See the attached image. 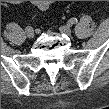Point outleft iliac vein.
Wrapping results in <instances>:
<instances>
[{
    "mask_svg": "<svg viewBox=\"0 0 109 109\" xmlns=\"http://www.w3.org/2000/svg\"><path fill=\"white\" fill-rule=\"evenodd\" d=\"M59 30H60V32H62V33H64V34H67V35L71 34V29H70V27L67 26V25L61 26V27L59 28Z\"/></svg>",
    "mask_w": 109,
    "mask_h": 109,
    "instance_id": "4c4485c4",
    "label": "left iliac vein"
}]
</instances>
